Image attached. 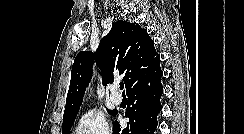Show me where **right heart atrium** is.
<instances>
[{
    "label": "right heart atrium",
    "mask_w": 244,
    "mask_h": 134,
    "mask_svg": "<svg viewBox=\"0 0 244 134\" xmlns=\"http://www.w3.org/2000/svg\"><path fill=\"white\" fill-rule=\"evenodd\" d=\"M75 134H111V129L102 112L90 110L79 118Z\"/></svg>",
    "instance_id": "1"
}]
</instances>
